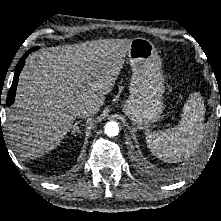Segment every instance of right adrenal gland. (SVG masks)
I'll return each mask as SVG.
<instances>
[{"instance_id":"obj_1","label":"right adrenal gland","mask_w":221,"mask_h":221,"mask_svg":"<svg viewBox=\"0 0 221 221\" xmlns=\"http://www.w3.org/2000/svg\"><path fill=\"white\" fill-rule=\"evenodd\" d=\"M81 121H77L74 123V125L72 126V134H75V133H81V130L79 129V126L78 124H80Z\"/></svg>"}]
</instances>
